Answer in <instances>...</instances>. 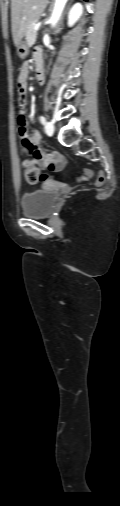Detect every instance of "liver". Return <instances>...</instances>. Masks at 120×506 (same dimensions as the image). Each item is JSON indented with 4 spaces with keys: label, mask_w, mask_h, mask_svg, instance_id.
I'll return each instance as SVG.
<instances>
[{
    "label": "liver",
    "mask_w": 120,
    "mask_h": 506,
    "mask_svg": "<svg viewBox=\"0 0 120 506\" xmlns=\"http://www.w3.org/2000/svg\"><path fill=\"white\" fill-rule=\"evenodd\" d=\"M48 0H11V23L14 44L17 46L29 25L45 10Z\"/></svg>",
    "instance_id": "obj_1"
}]
</instances>
